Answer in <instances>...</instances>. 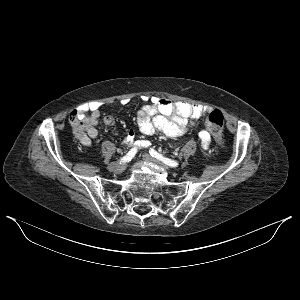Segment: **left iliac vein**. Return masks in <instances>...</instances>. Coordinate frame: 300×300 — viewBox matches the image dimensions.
<instances>
[{"mask_svg":"<svg viewBox=\"0 0 300 300\" xmlns=\"http://www.w3.org/2000/svg\"><path fill=\"white\" fill-rule=\"evenodd\" d=\"M143 159L147 162H151L154 164H157L158 166H160L161 168H163L164 170L170 172V169L164 165L163 163H161L160 161H158L157 159L151 157L149 154H143Z\"/></svg>","mask_w":300,"mask_h":300,"instance_id":"left-iliac-vein-1","label":"left iliac vein"}]
</instances>
